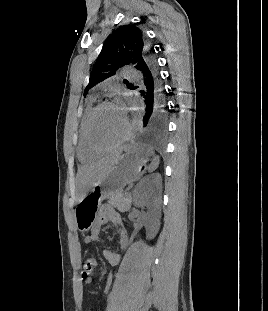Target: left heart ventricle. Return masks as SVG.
I'll return each mask as SVG.
<instances>
[{"instance_id": "1", "label": "left heart ventricle", "mask_w": 268, "mask_h": 311, "mask_svg": "<svg viewBox=\"0 0 268 311\" xmlns=\"http://www.w3.org/2000/svg\"><path fill=\"white\" fill-rule=\"evenodd\" d=\"M125 131V117L115 106H107L101 109L92 124L93 140L101 147L116 143Z\"/></svg>"}]
</instances>
